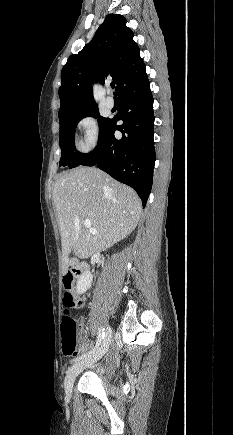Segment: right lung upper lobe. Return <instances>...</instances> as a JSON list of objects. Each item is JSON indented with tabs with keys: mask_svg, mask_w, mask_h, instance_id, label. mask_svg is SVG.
Instances as JSON below:
<instances>
[{
	"mask_svg": "<svg viewBox=\"0 0 233 435\" xmlns=\"http://www.w3.org/2000/svg\"><path fill=\"white\" fill-rule=\"evenodd\" d=\"M127 20L119 14H109L99 26L91 42L69 57L61 71L58 116L84 113L97 107L92 84L103 83L108 76L116 82V92L146 72L134 33L126 27Z\"/></svg>",
	"mask_w": 233,
	"mask_h": 435,
	"instance_id": "right-lung-upper-lobe-1",
	"label": "right lung upper lobe"
}]
</instances>
